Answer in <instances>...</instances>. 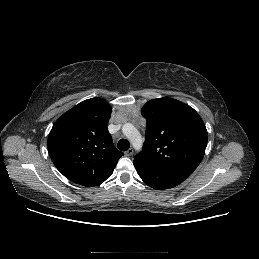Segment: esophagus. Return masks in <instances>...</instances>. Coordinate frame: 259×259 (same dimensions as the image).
<instances>
[{"label": "esophagus", "instance_id": "34e87169", "mask_svg": "<svg viewBox=\"0 0 259 259\" xmlns=\"http://www.w3.org/2000/svg\"><path fill=\"white\" fill-rule=\"evenodd\" d=\"M134 150L133 148H129L126 152H125V155L126 156H131L133 154Z\"/></svg>", "mask_w": 259, "mask_h": 259}]
</instances>
